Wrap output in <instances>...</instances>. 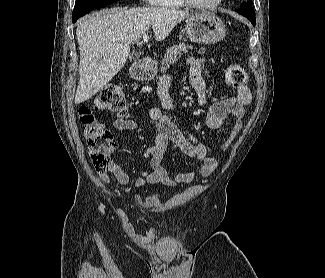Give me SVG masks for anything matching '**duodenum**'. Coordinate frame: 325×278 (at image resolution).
I'll list each match as a JSON object with an SVG mask.
<instances>
[{
  "mask_svg": "<svg viewBox=\"0 0 325 278\" xmlns=\"http://www.w3.org/2000/svg\"><path fill=\"white\" fill-rule=\"evenodd\" d=\"M141 64L143 66H148L150 64V61L146 58L141 59Z\"/></svg>",
  "mask_w": 325,
  "mask_h": 278,
  "instance_id": "obj_1",
  "label": "duodenum"
}]
</instances>
